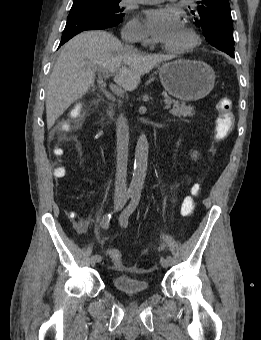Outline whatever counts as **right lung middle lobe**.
<instances>
[{"mask_svg":"<svg viewBox=\"0 0 261 340\" xmlns=\"http://www.w3.org/2000/svg\"><path fill=\"white\" fill-rule=\"evenodd\" d=\"M121 0H90L74 2L69 13L85 12L99 17L116 26L122 22L124 8L119 6Z\"/></svg>","mask_w":261,"mask_h":340,"instance_id":"1","label":"right lung middle lobe"}]
</instances>
